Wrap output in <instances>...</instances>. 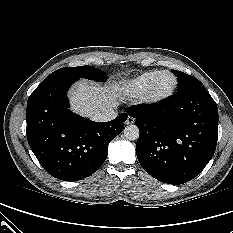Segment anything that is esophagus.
Wrapping results in <instances>:
<instances>
[{"instance_id": "1", "label": "esophagus", "mask_w": 233, "mask_h": 233, "mask_svg": "<svg viewBox=\"0 0 233 233\" xmlns=\"http://www.w3.org/2000/svg\"><path fill=\"white\" fill-rule=\"evenodd\" d=\"M135 123V119L131 116H128L127 119H126V122L125 124L126 125H129V124H134Z\"/></svg>"}]
</instances>
